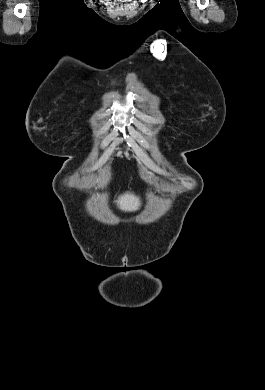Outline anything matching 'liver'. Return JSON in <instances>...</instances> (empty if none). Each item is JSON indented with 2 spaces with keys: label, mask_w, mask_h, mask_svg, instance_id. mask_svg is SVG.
<instances>
[{
  "label": "liver",
  "mask_w": 265,
  "mask_h": 390,
  "mask_svg": "<svg viewBox=\"0 0 265 390\" xmlns=\"http://www.w3.org/2000/svg\"><path fill=\"white\" fill-rule=\"evenodd\" d=\"M116 203L121 210L128 212L136 211L140 206L139 198L131 193L119 196Z\"/></svg>",
  "instance_id": "obj_1"
}]
</instances>
